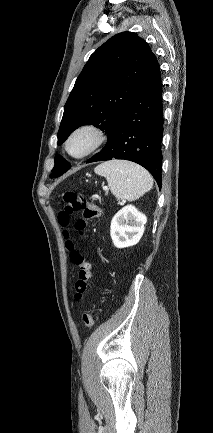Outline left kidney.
<instances>
[{"label":"left kidney","instance_id":"left-kidney-1","mask_svg":"<svg viewBox=\"0 0 213 433\" xmlns=\"http://www.w3.org/2000/svg\"><path fill=\"white\" fill-rule=\"evenodd\" d=\"M147 217L134 206L127 205L119 210L111 221L110 235L117 248L136 245L145 230Z\"/></svg>","mask_w":213,"mask_h":433}]
</instances>
